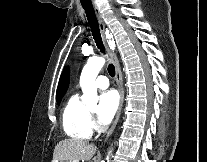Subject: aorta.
Masks as SVG:
<instances>
[{
	"label": "aorta",
	"mask_w": 207,
	"mask_h": 162,
	"mask_svg": "<svg viewBox=\"0 0 207 162\" xmlns=\"http://www.w3.org/2000/svg\"><path fill=\"white\" fill-rule=\"evenodd\" d=\"M104 64L105 59L103 57H90L82 70L80 76V86L83 91L82 101L87 106H95L98 102L95 80ZM106 160H109V155Z\"/></svg>",
	"instance_id": "1"
}]
</instances>
